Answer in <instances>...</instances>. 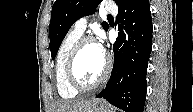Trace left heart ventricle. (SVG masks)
Masks as SVG:
<instances>
[{
	"label": "left heart ventricle",
	"instance_id": "1",
	"mask_svg": "<svg viewBox=\"0 0 193 112\" xmlns=\"http://www.w3.org/2000/svg\"><path fill=\"white\" fill-rule=\"evenodd\" d=\"M105 66V54L97 43L83 46L75 63V71L79 80L85 84L94 83L102 74Z\"/></svg>",
	"mask_w": 193,
	"mask_h": 112
}]
</instances>
